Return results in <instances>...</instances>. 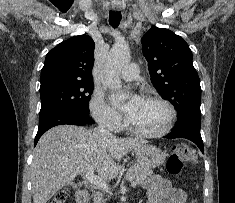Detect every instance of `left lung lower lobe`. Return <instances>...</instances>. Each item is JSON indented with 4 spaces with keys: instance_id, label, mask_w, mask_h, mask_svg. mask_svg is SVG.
<instances>
[{
    "instance_id": "obj_1",
    "label": "left lung lower lobe",
    "mask_w": 235,
    "mask_h": 203,
    "mask_svg": "<svg viewBox=\"0 0 235 203\" xmlns=\"http://www.w3.org/2000/svg\"><path fill=\"white\" fill-rule=\"evenodd\" d=\"M164 137L168 139H189L199 147L202 153H204L203 141L200 134V122L189 120L177 123L176 127L173 129V132Z\"/></svg>"
}]
</instances>
